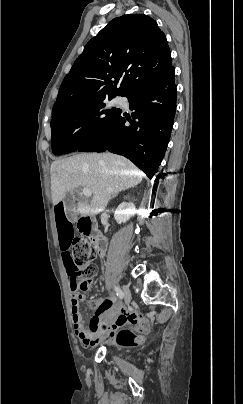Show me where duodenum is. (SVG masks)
Listing matches in <instances>:
<instances>
[{"instance_id":"obj_1","label":"duodenum","mask_w":243,"mask_h":404,"mask_svg":"<svg viewBox=\"0 0 243 404\" xmlns=\"http://www.w3.org/2000/svg\"><path fill=\"white\" fill-rule=\"evenodd\" d=\"M79 231L88 237L94 244V247L100 257H104L107 252V239L99 231L95 221L88 215H85L79 220Z\"/></svg>"}]
</instances>
